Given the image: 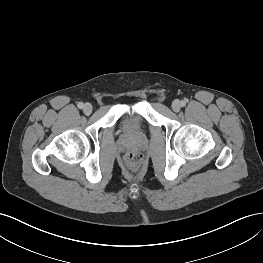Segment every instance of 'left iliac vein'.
Segmentation results:
<instances>
[{
	"label": "left iliac vein",
	"instance_id": "4c4485c4",
	"mask_svg": "<svg viewBox=\"0 0 263 263\" xmlns=\"http://www.w3.org/2000/svg\"><path fill=\"white\" fill-rule=\"evenodd\" d=\"M181 109V102L179 100H174L172 102V110L174 112H179Z\"/></svg>",
	"mask_w": 263,
	"mask_h": 263
}]
</instances>
